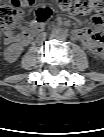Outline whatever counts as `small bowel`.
<instances>
[{"label":"small bowel","mask_w":104,"mask_h":137,"mask_svg":"<svg viewBox=\"0 0 104 137\" xmlns=\"http://www.w3.org/2000/svg\"><path fill=\"white\" fill-rule=\"evenodd\" d=\"M60 22L64 23V20L61 19ZM35 27H38V23L36 21H32L31 24L29 26L25 27L19 35L7 33L5 36V43H7V44L17 43L21 46L27 45L31 40L30 31ZM73 36L76 40L80 41L88 49L93 51V53L95 55H97V56L102 55V52L97 53L96 51H94L93 46L95 44H99V45H101V44L93 39L92 33H90L89 31H87L85 29H77V30H75Z\"/></svg>","instance_id":"small-bowel-1"}]
</instances>
